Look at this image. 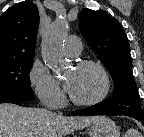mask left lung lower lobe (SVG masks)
I'll use <instances>...</instances> for the list:
<instances>
[{"label": "left lung lower lobe", "instance_id": "obj_1", "mask_svg": "<svg viewBox=\"0 0 144 137\" xmlns=\"http://www.w3.org/2000/svg\"><path fill=\"white\" fill-rule=\"evenodd\" d=\"M73 115H125L139 120L144 126V112L142 108H132L126 106L108 107L103 102L93 105L83 110H77Z\"/></svg>", "mask_w": 144, "mask_h": 137}]
</instances>
